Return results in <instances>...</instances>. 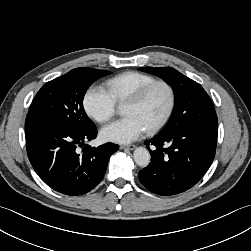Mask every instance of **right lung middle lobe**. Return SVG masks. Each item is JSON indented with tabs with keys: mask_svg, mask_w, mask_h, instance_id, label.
<instances>
[{
	"mask_svg": "<svg viewBox=\"0 0 251 251\" xmlns=\"http://www.w3.org/2000/svg\"><path fill=\"white\" fill-rule=\"evenodd\" d=\"M111 72L92 68H76L53 79L38 91L27 117H37L86 132L95 128L83 108V98L89 86Z\"/></svg>",
	"mask_w": 251,
	"mask_h": 251,
	"instance_id": "dd1d6c3e",
	"label": "right lung middle lobe"
}]
</instances>
